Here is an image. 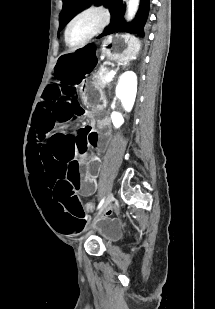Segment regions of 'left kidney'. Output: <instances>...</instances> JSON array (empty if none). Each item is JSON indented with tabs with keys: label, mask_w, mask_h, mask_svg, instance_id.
Instances as JSON below:
<instances>
[{
	"label": "left kidney",
	"mask_w": 215,
	"mask_h": 309,
	"mask_svg": "<svg viewBox=\"0 0 215 309\" xmlns=\"http://www.w3.org/2000/svg\"><path fill=\"white\" fill-rule=\"evenodd\" d=\"M115 92L116 96L120 98L125 110L130 112L133 108L137 92V76L133 70H126V72L121 74ZM111 120L115 128H119L124 122L122 114L115 112V110L111 114Z\"/></svg>",
	"instance_id": "left-kidney-1"
}]
</instances>
